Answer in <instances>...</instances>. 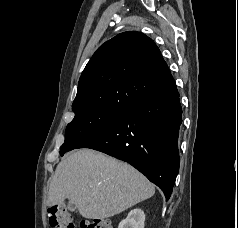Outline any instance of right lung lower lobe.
Masks as SVG:
<instances>
[{"label": "right lung lower lobe", "instance_id": "1", "mask_svg": "<svg viewBox=\"0 0 238 228\" xmlns=\"http://www.w3.org/2000/svg\"><path fill=\"white\" fill-rule=\"evenodd\" d=\"M182 108L176 85L128 107L114 122L77 148H90L126 161L164 192L179 170Z\"/></svg>", "mask_w": 238, "mask_h": 228}]
</instances>
